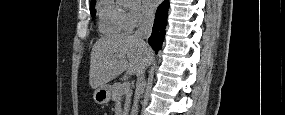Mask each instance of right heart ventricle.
<instances>
[{"label": "right heart ventricle", "instance_id": "obj_1", "mask_svg": "<svg viewBox=\"0 0 285 115\" xmlns=\"http://www.w3.org/2000/svg\"><path fill=\"white\" fill-rule=\"evenodd\" d=\"M98 28L105 36H114L126 30V11L114 1H103L99 6Z\"/></svg>", "mask_w": 285, "mask_h": 115}]
</instances>
